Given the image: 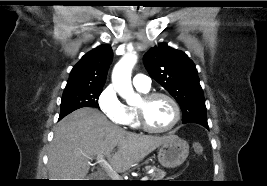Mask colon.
<instances>
[{
	"label": "colon",
	"mask_w": 267,
	"mask_h": 186,
	"mask_svg": "<svg viewBox=\"0 0 267 186\" xmlns=\"http://www.w3.org/2000/svg\"><path fill=\"white\" fill-rule=\"evenodd\" d=\"M193 149H194V152L197 154V155H201L203 153V147L201 144L199 143H194L193 144Z\"/></svg>",
	"instance_id": "obj_1"
}]
</instances>
